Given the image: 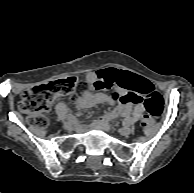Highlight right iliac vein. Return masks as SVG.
Returning <instances> with one entry per match:
<instances>
[{"instance_id":"right-iliac-vein-1","label":"right iliac vein","mask_w":194,"mask_h":193,"mask_svg":"<svg viewBox=\"0 0 194 193\" xmlns=\"http://www.w3.org/2000/svg\"><path fill=\"white\" fill-rule=\"evenodd\" d=\"M74 125H75V122L74 121H66L63 123V126L67 129V130H73L74 128Z\"/></svg>"}]
</instances>
